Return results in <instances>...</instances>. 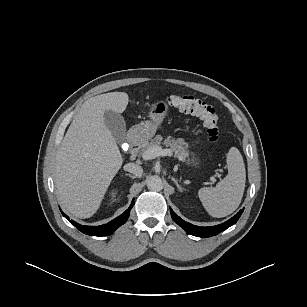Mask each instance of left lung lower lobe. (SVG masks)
<instances>
[{
	"mask_svg": "<svg viewBox=\"0 0 307 307\" xmlns=\"http://www.w3.org/2000/svg\"><path fill=\"white\" fill-rule=\"evenodd\" d=\"M243 210L244 209L240 210L234 217H232L228 221L222 224L216 225V226H211V227H199V226L192 225L182 220L172 210L170 212H171V216L173 220L188 233L194 236H197V237H211V236L217 235L218 233L226 230L227 228L235 224L240 218L241 214L243 213Z\"/></svg>",
	"mask_w": 307,
	"mask_h": 307,
	"instance_id": "1",
	"label": "left lung lower lobe"
}]
</instances>
